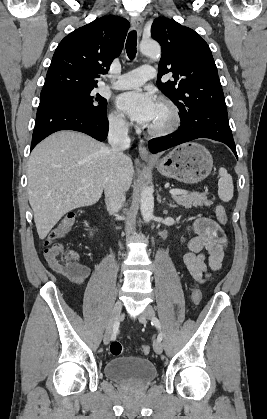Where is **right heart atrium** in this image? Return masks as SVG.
Here are the masks:
<instances>
[{"label":"right heart atrium","instance_id":"obj_1","mask_svg":"<svg viewBox=\"0 0 267 419\" xmlns=\"http://www.w3.org/2000/svg\"><path fill=\"white\" fill-rule=\"evenodd\" d=\"M108 122H109L110 128L113 131L118 132V133H124L129 128V123L127 122L125 117L117 111H112L109 114Z\"/></svg>","mask_w":267,"mask_h":419}]
</instances>
